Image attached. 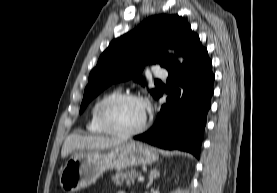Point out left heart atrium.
Wrapping results in <instances>:
<instances>
[{"instance_id": "1", "label": "left heart atrium", "mask_w": 277, "mask_h": 193, "mask_svg": "<svg viewBox=\"0 0 277 193\" xmlns=\"http://www.w3.org/2000/svg\"><path fill=\"white\" fill-rule=\"evenodd\" d=\"M144 103V106L146 107V109H147V103L146 102H143Z\"/></svg>"}]
</instances>
